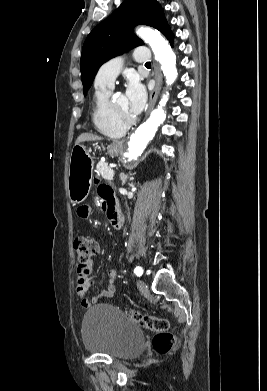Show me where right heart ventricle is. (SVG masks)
<instances>
[{"instance_id": "e07e8e85", "label": "right heart ventricle", "mask_w": 267, "mask_h": 391, "mask_svg": "<svg viewBox=\"0 0 267 391\" xmlns=\"http://www.w3.org/2000/svg\"><path fill=\"white\" fill-rule=\"evenodd\" d=\"M110 90L109 87H95L92 102V121L96 129L103 135L118 138L124 135L127 128L116 123L110 114L108 108Z\"/></svg>"}]
</instances>
